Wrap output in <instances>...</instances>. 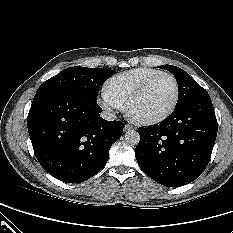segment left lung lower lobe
<instances>
[{
	"mask_svg": "<svg viewBox=\"0 0 233 233\" xmlns=\"http://www.w3.org/2000/svg\"><path fill=\"white\" fill-rule=\"evenodd\" d=\"M217 126L208 93L196 96L176 106L161 124L138 129L137 162L146 175L164 186L186 185L209 163Z\"/></svg>",
	"mask_w": 233,
	"mask_h": 233,
	"instance_id": "1",
	"label": "left lung lower lobe"
}]
</instances>
